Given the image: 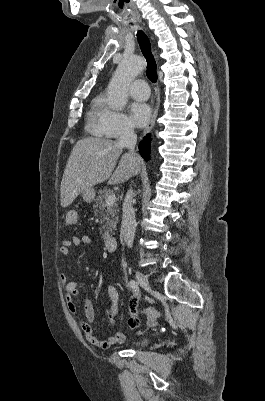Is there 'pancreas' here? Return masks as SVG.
I'll list each match as a JSON object with an SVG mask.
<instances>
[{"instance_id":"1","label":"pancreas","mask_w":265,"mask_h":401,"mask_svg":"<svg viewBox=\"0 0 265 401\" xmlns=\"http://www.w3.org/2000/svg\"><path fill=\"white\" fill-rule=\"evenodd\" d=\"M110 194H113V190H111V188H103V190H98V196H96L95 205H93L94 217H98V213H104V215H101L102 219H100L102 225L100 229V235H102L101 239H107L110 231L115 229L118 223V205L114 203V205L107 207L106 211L104 209V207H106V198L107 196H110Z\"/></svg>"}]
</instances>
